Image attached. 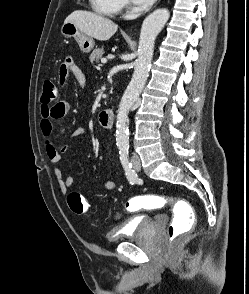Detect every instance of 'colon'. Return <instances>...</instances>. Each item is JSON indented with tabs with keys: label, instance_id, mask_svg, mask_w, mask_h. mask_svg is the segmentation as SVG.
Listing matches in <instances>:
<instances>
[{
	"label": "colon",
	"instance_id": "5ec220e1",
	"mask_svg": "<svg viewBox=\"0 0 249 294\" xmlns=\"http://www.w3.org/2000/svg\"><path fill=\"white\" fill-rule=\"evenodd\" d=\"M66 69V65H62ZM59 97V89L52 80H45L43 82V91L41 100L45 104H49ZM68 204L72 212L77 215H85L88 212V203L86 199L78 194L71 193L68 195ZM178 202L175 207L176 215L168 224L167 237L169 241H177L184 233L189 231L195 223V215L190 205H184L187 213H181L183 205H179L181 201H177L168 196H139L129 199L125 204V211L134 213L142 209H157L167 204Z\"/></svg>",
	"mask_w": 249,
	"mask_h": 294
}]
</instances>
